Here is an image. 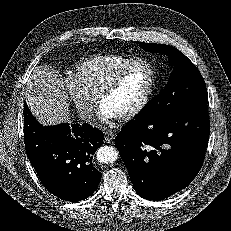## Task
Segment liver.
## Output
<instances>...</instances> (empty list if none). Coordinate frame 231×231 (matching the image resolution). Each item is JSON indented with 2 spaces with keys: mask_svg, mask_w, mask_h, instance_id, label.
Returning a JSON list of instances; mask_svg holds the SVG:
<instances>
[{
  "mask_svg": "<svg viewBox=\"0 0 231 231\" xmlns=\"http://www.w3.org/2000/svg\"><path fill=\"white\" fill-rule=\"evenodd\" d=\"M58 72L49 66L36 67L26 85L27 105L42 125L69 121L68 96Z\"/></svg>",
  "mask_w": 231,
  "mask_h": 231,
  "instance_id": "liver-1",
  "label": "liver"
}]
</instances>
